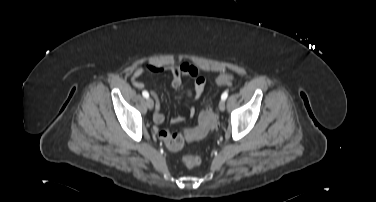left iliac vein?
Listing matches in <instances>:
<instances>
[{"label": "left iliac vein", "mask_w": 376, "mask_h": 202, "mask_svg": "<svg viewBox=\"0 0 376 202\" xmlns=\"http://www.w3.org/2000/svg\"><path fill=\"white\" fill-rule=\"evenodd\" d=\"M219 109H220V111H224L225 110V101L224 100H221L219 102Z\"/></svg>", "instance_id": "obj_1"}]
</instances>
